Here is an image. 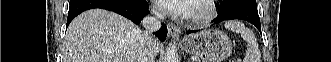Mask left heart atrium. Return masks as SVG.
Here are the masks:
<instances>
[{"label": "left heart atrium", "instance_id": "obj_1", "mask_svg": "<svg viewBox=\"0 0 331 62\" xmlns=\"http://www.w3.org/2000/svg\"><path fill=\"white\" fill-rule=\"evenodd\" d=\"M157 4L171 14L190 16L193 13V0H157Z\"/></svg>", "mask_w": 331, "mask_h": 62}]
</instances>
